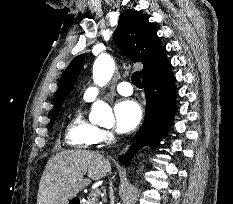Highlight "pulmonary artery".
<instances>
[{
  "instance_id": "pulmonary-artery-1",
  "label": "pulmonary artery",
  "mask_w": 233,
  "mask_h": 204,
  "mask_svg": "<svg viewBox=\"0 0 233 204\" xmlns=\"http://www.w3.org/2000/svg\"><path fill=\"white\" fill-rule=\"evenodd\" d=\"M119 94L129 96L133 93V88L129 82H120L116 85ZM100 93L99 87L92 85L88 87L84 93V98L88 101L94 100Z\"/></svg>"
}]
</instances>
